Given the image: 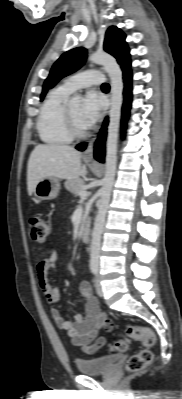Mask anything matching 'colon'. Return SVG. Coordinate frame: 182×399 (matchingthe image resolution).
<instances>
[{"label":"colon","instance_id":"obj_1","mask_svg":"<svg viewBox=\"0 0 182 399\" xmlns=\"http://www.w3.org/2000/svg\"><path fill=\"white\" fill-rule=\"evenodd\" d=\"M29 227L33 241L39 243L46 241L50 233V225L41 214L34 213L29 217ZM126 333L127 337L115 341L110 349L113 352H124L130 346V339L139 341L142 348L128 359L126 369L129 372L141 371L152 361L150 348L155 344V334L148 327L135 325L128 326Z\"/></svg>","mask_w":182,"mask_h":399}]
</instances>
